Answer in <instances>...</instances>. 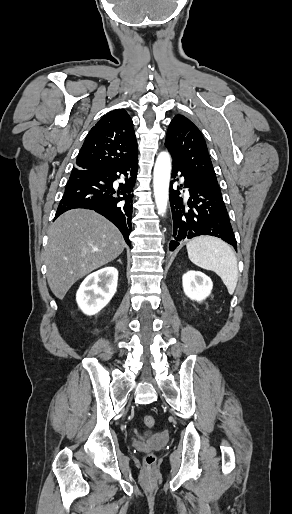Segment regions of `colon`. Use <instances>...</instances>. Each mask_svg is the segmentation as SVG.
Here are the masks:
<instances>
[{"label": "colon", "mask_w": 292, "mask_h": 514, "mask_svg": "<svg viewBox=\"0 0 292 514\" xmlns=\"http://www.w3.org/2000/svg\"><path fill=\"white\" fill-rule=\"evenodd\" d=\"M143 422L146 427L151 428L155 425V418L151 414H145L143 417ZM145 461L148 464H153L155 462V456L152 452H148L145 456Z\"/></svg>", "instance_id": "1"}]
</instances>
